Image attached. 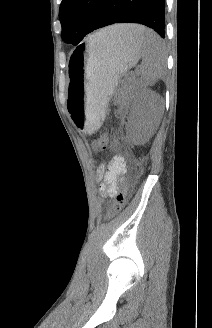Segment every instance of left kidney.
Listing matches in <instances>:
<instances>
[{
	"mask_svg": "<svg viewBox=\"0 0 212 328\" xmlns=\"http://www.w3.org/2000/svg\"><path fill=\"white\" fill-rule=\"evenodd\" d=\"M162 100L158 94L145 90L133 102L129 120V134L133 142L144 143L155 133L161 117Z\"/></svg>",
	"mask_w": 212,
	"mask_h": 328,
	"instance_id": "left-kidney-1",
	"label": "left kidney"
}]
</instances>
